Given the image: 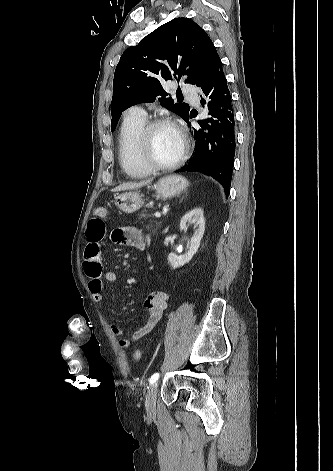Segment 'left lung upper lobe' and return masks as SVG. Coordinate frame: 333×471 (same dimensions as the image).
Returning <instances> with one entry per match:
<instances>
[{
  "label": "left lung upper lobe",
  "instance_id": "left-lung-upper-lobe-1",
  "mask_svg": "<svg viewBox=\"0 0 333 471\" xmlns=\"http://www.w3.org/2000/svg\"><path fill=\"white\" fill-rule=\"evenodd\" d=\"M216 49L206 32L188 18H175L128 48L121 56L113 80L111 130L124 110L157 96L167 109L183 119L189 106L166 98L162 84L173 77L197 85Z\"/></svg>",
  "mask_w": 333,
  "mask_h": 471
}]
</instances>
